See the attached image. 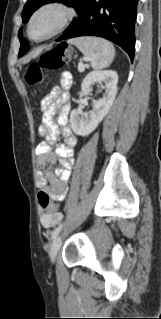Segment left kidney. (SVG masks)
Wrapping results in <instances>:
<instances>
[{
    "mask_svg": "<svg viewBox=\"0 0 161 319\" xmlns=\"http://www.w3.org/2000/svg\"><path fill=\"white\" fill-rule=\"evenodd\" d=\"M118 75L113 70L92 71L86 75L82 84L83 95L91 92L92 86L97 84L103 88V97L94 101L93 109L83 113L80 109H74L70 114V124L75 134L88 136L103 120L109 112L117 94Z\"/></svg>",
    "mask_w": 161,
    "mask_h": 319,
    "instance_id": "5707ae66",
    "label": "left kidney"
}]
</instances>
